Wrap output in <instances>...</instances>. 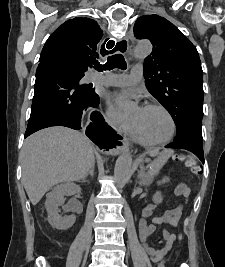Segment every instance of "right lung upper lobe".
I'll return each instance as SVG.
<instances>
[{"mask_svg": "<svg viewBox=\"0 0 225 267\" xmlns=\"http://www.w3.org/2000/svg\"><path fill=\"white\" fill-rule=\"evenodd\" d=\"M102 36L95 20L82 17L70 19L48 38L39 61L59 62L84 74L98 63L96 59Z\"/></svg>", "mask_w": 225, "mask_h": 267, "instance_id": "right-lung-upper-lobe-1", "label": "right lung upper lobe"}]
</instances>
